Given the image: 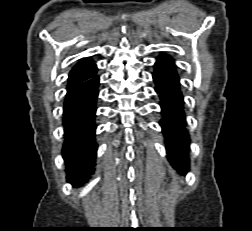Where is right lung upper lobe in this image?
<instances>
[{
    "instance_id": "cb5924a9",
    "label": "right lung upper lobe",
    "mask_w": 252,
    "mask_h": 231,
    "mask_svg": "<svg viewBox=\"0 0 252 231\" xmlns=\"http://www.w3.org/2000/svg\"><path fill=\"white\" fill-rule=\"evenodd\" d=\"M97 72V67L91 58L81 59L70 71L67 86H73L81 83L91 77Z\"/></svg>"
}]
</instances>
